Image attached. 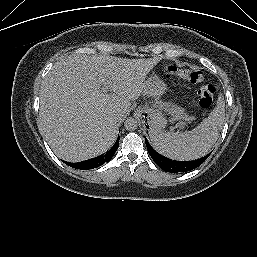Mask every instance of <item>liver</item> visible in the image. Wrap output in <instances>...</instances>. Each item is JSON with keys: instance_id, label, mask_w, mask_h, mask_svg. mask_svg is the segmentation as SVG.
<instances>
[{"instance_id": "liver-1", "label": "liver", "mask_w": 257, "mask_h": 257, "mask_svg": "<svg viewBox=\"0 0 257 257\" xmlns=\"http://www.w3.org/2000/svg\"><path fill=\"white\" fill-rule=\"evenodd\" d=\"M158 58L72 55L57 61L40 90V120L53 152L80 162L107 152L131 101L144 95ZM111 92V93H110ZM120 120L115 121L114 115Z\"/></svg>"}]
</instances>
